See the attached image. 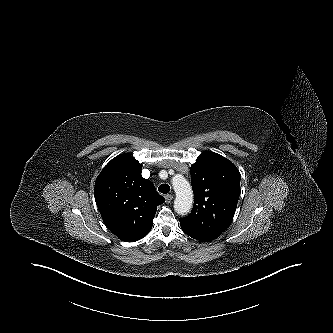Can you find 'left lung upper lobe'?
<instances>
[{
	"instance_id": "left-lung-upper-lobe-1",
	"label": "left lung upper lobe",
	"mask_w": 333,
	"mask_h": 333,
	"mask_svg": "<svg viewBox=\"0 0 333 333\" xmlns=\"http://www.w3.org/2000/svg\"><path fill=\"white\" fill-rule=\"evenodd\" d=\"M194 205L191 213L180 219L190 231L216 239L229 225L240 196V172L223 156L204 152L191 166Z\"/></svg>"
}]
</instances>
